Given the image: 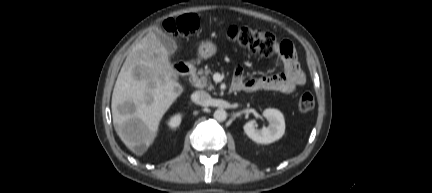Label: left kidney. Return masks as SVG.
<instances>
[{
  "label": "left kidney",
  "mask_w": 432,
  "mask_h": 193,
  "mask_svg": "<svg viewBox=\"0 0 432 193\" xmlns=\"http://www.w3.org/2000/svg\"><path fill=\"white\" fill-rule=\"evenodd\" d=\"M263 116L268 120L269 126L261 130L256 129L255 121L251 120L244 126L246 135L256 143L270 144L279 140L285 133V121L283 114L277 110L268 108L263 111Z\"/></svg>",
  "instance_id": "1"
}]
</instances>
